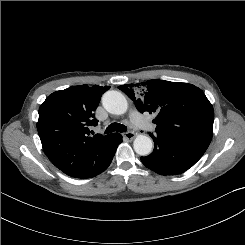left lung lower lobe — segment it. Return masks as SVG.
I'll use <instances>...</instances> for the list:
<instances>
[{
  "label": "left lung lower lobe",
  "instance_id": "0a47b994",
  "mask_svg": "<svg viewBox=\"0 0 245 245\" xmlns=\"http://www.w3.org/2000/svg\"><path fill=\"white\" fill-rule=\"evenodd\" d=\"M153 152L141 157L142 163L161 175H177L191 168L204 154L209 145L171 134L156 133Z\"/></svg>",
  "mask_w": 245,
  "mask_h": 245
}]
</instances>
